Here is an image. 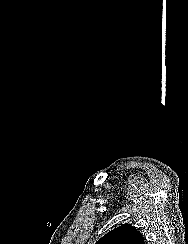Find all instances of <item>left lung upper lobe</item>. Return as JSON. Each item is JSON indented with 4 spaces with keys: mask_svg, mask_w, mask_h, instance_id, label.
Listing matches in <instances>:
<instances>
[{
    "mask_svg": "<svg viewBox=\"0 0 188 244\" xmlns=\"http://www.w3.org/2000/svg\"><path fill=\"white\" fill-rule=\"evenodd\" d=\"M95 244H145V241L139 230L126 223L105 234Z\"/></svg>",
    "mask_w": 188,
    "mask_h": 244,
    "instance_id": "left-lung-upper-lobe-1",
    "label": "left lung upper lobe"
}]
</instances>
